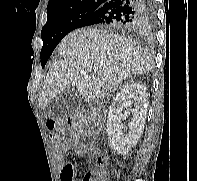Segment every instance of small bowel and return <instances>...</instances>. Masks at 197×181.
I'll use <instances>...</instances> for the list:
<instances>
[{
	"label": "small bowel",
	"instance_id": "small-bowel-1",
	"mask_svg": "<svg viewBox=\"0 0 197 181\" xmlns=\"http://www.w3.org/2000/svg\"><path fill=\"white\" fill-rule=\"evenodd\" d=\"M74 147L79 154H82L87 148L77 139L67 138L59 148H56V159L60 163L61 181H75L74 168L71 163H64L66 153Z\"/></svg>",
	"mask_w": 197,
	"mask_h": 181
}]
</instances>
